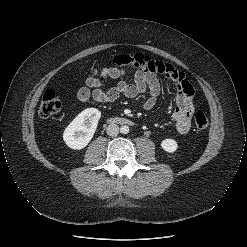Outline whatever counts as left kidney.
Instances as JSON below:
<instances>
[{
  "label": "left kidney",
  "instance_id": "left-kidney-1",
  "mask_svg": "<svg viewBox=\"0 0 247 247\" xmlns=\"http://www.w3.org/2000/svg\"><path fill=\"white\" fill-rule=\"evenodd\" d=\"M161 147L164 151L174 153L178 149V144L174 139H164L161 142Z\"/></svg>",
  "mask_w": 247,
  "mask_h": 247
}]
</instances>
